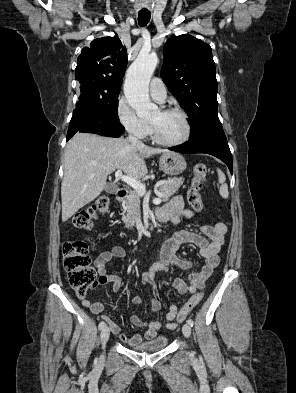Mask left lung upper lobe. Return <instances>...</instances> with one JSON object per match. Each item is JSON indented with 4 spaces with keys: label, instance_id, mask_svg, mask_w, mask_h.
I'll list each match as a JSON object with an SVG mask.
<instances>
[{
    "label": "left lung upper lobe",
    "instance_id": "obj_1",
    "mask_svg": "<svg viewBox=\"0 0 296 393\" xmlns=\"http://www.w3.org/2000/svg\"><path fill=\"white\" fill-rule=\"evenodd\" d=\"M161 75L189 116V140L222 128L215 63L208 44L188 34L171 37L164 46Z\"/></svg>",
    "mask_w": 296,
    "mask_h": 393
}]
</instances>
